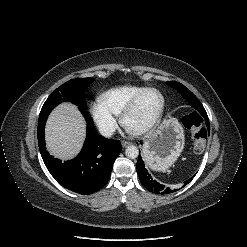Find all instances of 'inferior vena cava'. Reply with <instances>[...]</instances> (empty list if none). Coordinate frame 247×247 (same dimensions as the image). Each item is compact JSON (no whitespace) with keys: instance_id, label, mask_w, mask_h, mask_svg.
Masks as SVG:
<instances>
[{"instance_id":"inferior-vena-cava-1","label":"inferior vena cava","mask_w":247,"mask_h":247,"mask_svg":"<svg viewBox=\"0 0 247 247\" xmlns=\"http://www.w3.org/2000/svg\"><path fill=\"white\" fill-rule=\"evenodd\" d=\"M99 131L104 137H111L115 132V127L113 125H102L99 127Z\"/></svg>"}]
</instances>
